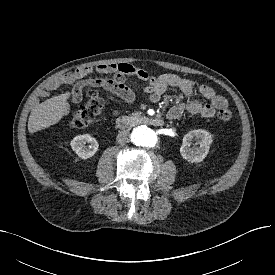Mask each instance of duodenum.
I'll use <instances>...</instances> for the list:
<instances>
[{
  "instance_id": "1",
  "label": "duodenum",
  "mask_w": 275,
  "mask_h": 275,
  "mask_svg": "<svg viewBox=\"0 0 275 275\" xmlns=\"http://www.w3.org/2000/svg\"><path fill=\"white\" fill-rule=\"evenodd\" d=\"M136 122H143L151 126H162L163 120L156 116H137V115H122L116 119V126L121 130H126Z\"/></svg>"
}]
</instances>
